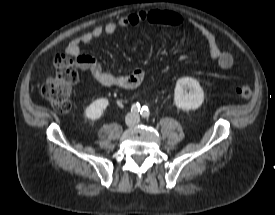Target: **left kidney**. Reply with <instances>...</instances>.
Segmentation results:
<instances>
[{"mask_svg":"<svg viewBox=\"0 0 275 215\" xmlns=\"http://www.w3.org/2000/svg\"><path fill=\"white\" fill-rule=\"evenodd\" d=\"M203 101L204 92L196 79L182 77L177 80L174 102L178 108L186 111L197 109L202 105Z\"/></svg>","mask_w":275,"mask_h":215,"instance_id":"1","label":"left kidney"}]
</instances>
